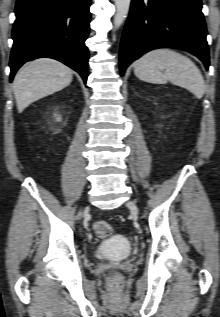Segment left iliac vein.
<instances>
[{
    "mask_svg": "<svg viewBox=\"0 0 220 317\" xmlns=\"http://www.w3.org/2000/svg\"><path fill=\"white\" fill-rule=\"evenodd\" d=\"M127 206H128V208L131 210V212L133 213V214H137L138 213V209H137V206H136V204L133 202V201H129L128 203H127Z\"/></svg>",
    "mask_w": 220,
    "mask_h": 317,
    "instance_id": "1",
    "label": "left iliac vein"
}]
</instances>
